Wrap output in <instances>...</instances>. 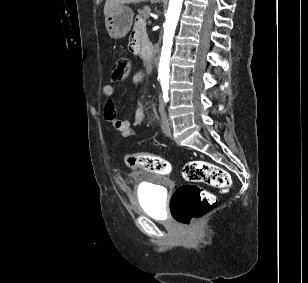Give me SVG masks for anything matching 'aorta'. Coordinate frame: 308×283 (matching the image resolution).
<instances>
[{"instance_id":"1","label":"aorta","mask_w":308,"mask_h":283,"mask_svg":"<svg viewBox=\"0 0 308 283\" xmlns=\"http://www.w3.org/2000/svg\"><path fill=\"white\" fill-rule=\"evenodd\" d=\"M183 0H170L164 24V39L161 58L159 63V78L163 88L169 84L170 54L174 32L179 20Z\"/></svg>"}]
</instances>
